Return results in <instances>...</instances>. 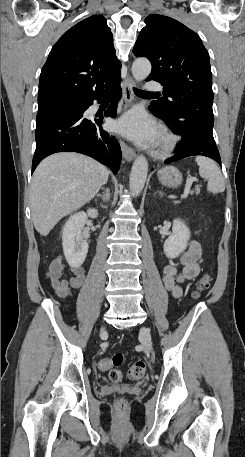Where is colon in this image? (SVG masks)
<instances>
[{
	"label": "colon",
	"instance_id": "1",
	"mask_svg": "<svg viewBox=\"0 0 245 457\" xmlns=\"http://www.w3.org/2000/svg\"><path fill=\"white\" fill-rule=\"evenodd\" d=\"M211 277L209 274L204 275L198 286V290L195 292V296L198 295L199 291L207 288L210 284ZM123 362V355L120 353L114 354L111 357L104 358L99 362V369L102 371H109V378L113 382H119L122 379V372L117 369ZM145 374V364L143 362H136L132 364L128 369V376L133 380L141 379ZM115 406L119 410H123L126 407V401L123 398H118L115 402Z\"/></svg>",
	"mask_w": 245,
	"mask_h": 457
}]
</instances>
